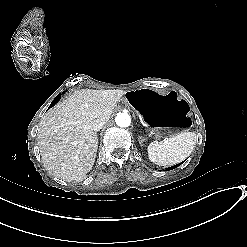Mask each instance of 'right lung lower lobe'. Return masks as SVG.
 <instances>
[{"label": "right lung lower lobe", "mask_w": 247, "mask_h": 247, "mask_svg": "<svg viewBox=\"0 0 247 247\" xmlns=\"http://www.w3.org/2000/svg\"><path fill=\"white\" fill-rule=\"evenodd\" d=\"M60 97H61V94H58L55 97V99L52 101V103H51V105H50V107L48 109H50L52 106H54L58 102V100L60 99Z\"/></svg>", "instance_id": "98d812e1"}]
</instances>
